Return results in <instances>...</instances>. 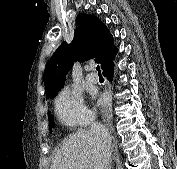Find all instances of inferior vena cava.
<instances>
[{
  "label": "inferior vena cava",
  "instance_id": "602c4592",
  "mask_svg": "<svg viewBox=\"0 0 177 169\" xmlns=\"http://www.w3.org/2000/svg\"><path fill=\"white\" fill-rule=\"evenodd\" d=\"M90 130L94 133L100 144L102 155L101 169H111V136L108 130L105 126L97 122L91 124Z\"/></svg>",
  "mask_w": 177,
  "mask_h": 169
}]
</instances>
